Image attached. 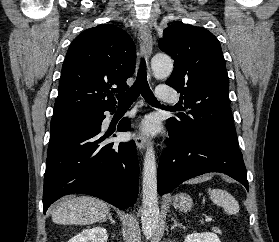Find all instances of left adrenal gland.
<instances>
[{
	"instance_id": "obj_1",
	"label": "left adrenal gland",
	"mask_w": 279,
	"mask_h": 242,
	"mask_svg": "<svg viewBox=\"0 0 279 242\" xmlns=\"http://www.w3.org/2000/svg\"><path fill=\"white\" fill-rule=\"evenodd\" d=\"M172 220L174 222V225L171 227V229H174L176 227H180V228L185 229V226H183L181 223H178L175 218H172Z\"/></svg>"
}]
</instances>
